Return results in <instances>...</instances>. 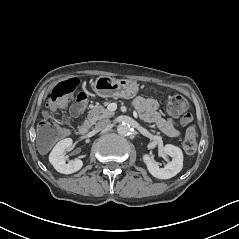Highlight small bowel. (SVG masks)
<instances>
[{
    "label": "small bowel",
    "mask_w": 239,
    "mask_h": 239,
    "mask_svg": "<svg viewBox=\"0 0 239 239\" xmlns=\"http://www.w3.org/2000/svg\"><path fill=\"white\" fill-rule=\"evenodd\" d=\"M158 106V102L152 98L139 96L133 100V107L143 120L155 123L163 133L170 137L179 136L180 132L175 121L170 118H163Z\"/></svg>",
    "instance_id": "small-bowel-1"
}]
</instances>
